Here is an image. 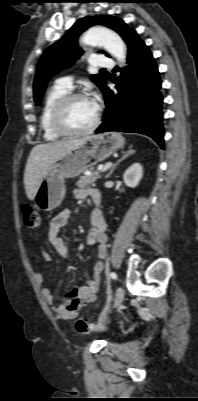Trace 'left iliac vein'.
I'll use <instances>...</instances> for the list:
<instances>
[{"label":"left iliac vein","mask_w":198,"mask_h":401,"mask_svg":"<svg viewBox=\"0 0 198 401\" xmlns=\"http://www.w3.org/2000/svg\"><path fill=\"white\" fill-rule=\"evenodd\" d=\"M124 299V290L122 287H119L116 292V297L114 301V308H117L121 305Z\"/></svg>","instance_id":"4c4485c4"}]
</instances>
